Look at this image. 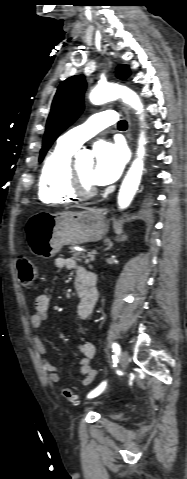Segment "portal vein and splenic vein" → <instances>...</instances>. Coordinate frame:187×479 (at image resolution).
Segmentation results:
<instances>
[{
    "label": "portal vein and splenic vein",
    "mask_w": 187,
    "mask_h": 479,
    "mask_svg": "<svg viewBox=\"0 0 187 479\" xmlns=\"http://www.w3.org/2000/svg\"><path fill=\"white\" fill-rule=\"evenodd\" d=\"M89 254H90L91 256H93V255H96L97 252L93 250V251L89 252Z\"/></svg>",
    "instance_id": "obj_1"
}]
</instances>
